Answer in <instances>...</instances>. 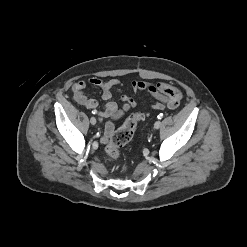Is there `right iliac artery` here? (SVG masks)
Instances as JSON below:
<instances>
[{"instance_id":"right-iliac-artery-1","label":"right iliac artery","mask_w":247,"mask_h":247,"mask_svg":"<svg viewBox=\"0 0 247 247\" xmlns=\"http://www.w3.org/2000/svg\"><path fill=\"white\" fill-rule=\"evenodd\" d=\"M92 113H93V114H95V113H96V111H92Z\"/></svg>"}]
</instances>
